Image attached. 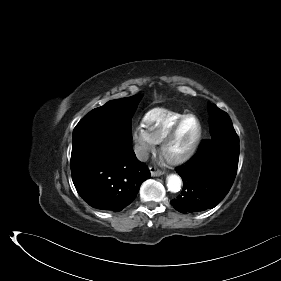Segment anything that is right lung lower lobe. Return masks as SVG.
<instances>
[{"mask_svg":"<svg viewBox=\"0 0 281 281\" xmlns=\"http://www.w3.org/2000/svg\"><path fill=\"white\" fill-rule=\"evenodd\" d=\"M71 174L79 195L93 208L119 212L150 177L130 141L111 138L72 147Z\"/></svg>","mask_w":281,"mask_h":281,"instance_id":"obj_1","label":"right lung lower lobe"}]
</instances>
